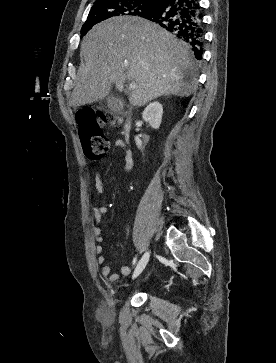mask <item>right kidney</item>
<instances>
[{"label":"right kidney","instance_id":"1","mask_svg":"<svg viewBox=\"0 0 276 363\" xmlns=\"http://www.w3.org/2000/svg\"><path fill=\"white\" fill-rule=\"evenodd\" d=\"M163 107L159 102H152L144 109L142 118L148 122L153 129H159L162 121ZM136 145L139 149L142 148V141L139 136L135 137Z\"/></svg>","mask_w":276,"mask_h":363}]
</instances>
